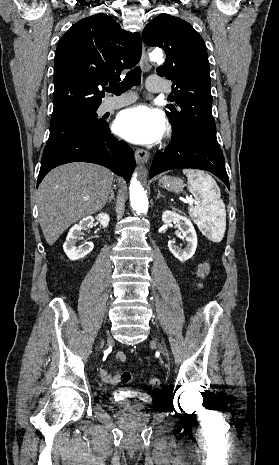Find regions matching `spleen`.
I'll list each match as a JSON object with an SVG mask.
<instances>
[{
  "label": "spleen",
  "instance_id": "obj_1",
  "mask_svg": "<svg viewBox=\"0 0 279 465\" xmlns=\"http://www.w3.org/2000/svg\"><path fill=\"white\" fill-rule=\"evenodd\" d=\"M188 188L195 197L189 214L200 231L213 242H220L226 230V210L216 181L203 171L186 169Z\"/></svg>",
  "mask_w": 279,
  "mask_h": 465
}]
</instances>
